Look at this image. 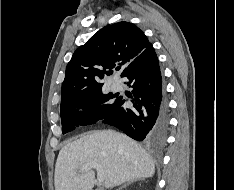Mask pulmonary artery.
I'll list each match as a JSON object with an SVG mask.
<instances>
[{
	"label": "pulmonary artery",
	"instance_id": "pulmonary-artery-1",
	"mask_svg": "<svg viewBox=\"0 0 234 190\" xmlns=\"http://www.w3.org/2000/svg\"><path fill=\"white\" fill-rule=\"evenodd\" d=\"M113 88H114V89H119V85L114 84V85H113Z\"/></svg>",
	"mask_w": 234,
	"mask_h": 190
}]
</instances>
